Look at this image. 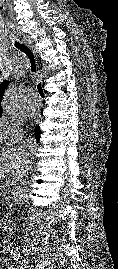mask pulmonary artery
Wrapping results in <instances>:
<instances>
[{
	"mask_svg": "<svg viewBox=\"0 0 118 269\" xmlns=\"http://www.w3.org/2000/svg\"><path fill=\"white\" fill-rule=\"evenodd\" d=\"M27 101L31 105H35L39 103V99L37 97H28Z\"/></svg>",
	"mask_w": 118,
	"mask_h": 269,
	"instance_id": "e3ab8cb5",
	"label": "pulmonary artery"
}]
</instances>
